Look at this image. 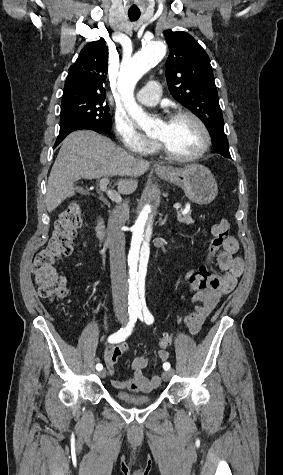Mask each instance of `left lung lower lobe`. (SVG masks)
<instances>
[{"mask_svg": "<svg viewBox=\"0 0 283 475\" xmlns=\"http://www.w3.org/2000/svg\"><path fill=\"white\" fill-rule=\"evenodd\" d=\"M213 153L220 154L225 158H230V153L228 150V140L225 134L211 135Z\"/></svg>", "mask_w": 283, "mask_h": 475, "instance_id": "0a47b994", "label": "left lung lower lobe"}]
</instances>
